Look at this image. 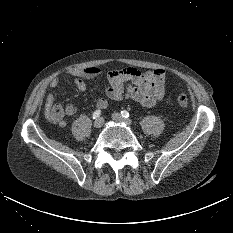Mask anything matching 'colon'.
<instances>
[{
  "mask_svg": "<svg viewBox=\"0 0 233 233\" xmlns=\"http://www.w3.org/2000/svg\"><path fill=\"white\" fill-rule=\"evenodd\" d=\"M176 100H177L178 105H180L183 108H187L189 105V99L187 95L183 93H179L176 97Z\"/></svg>",
  "mask_w": 233,
  "mask_h": 233,
  "instance_id": "1",
  "label": "colon"
}]
</instances>
